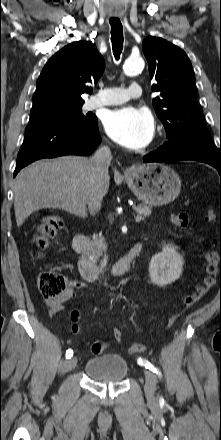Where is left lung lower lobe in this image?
Segmentation results:
<instances>
[{"instance_id": "left-lung-lower-lobe-1", "label": "left lung lower lobe", "mask_w": 221, "mask_h": 440, "mask_svg": "<svg viewBox=\"0 0 221 440\" xmlns=\"http://www.w3.org/2000/svg\"><path fill=\"white\" fill-rule=\"evenodd\" d=\"M176 160H196L199 162H204L216 168V170L221 174V158L181 154L170 150L165 144L157 150L147 154L143 158L144 162H163Z\"/></svg>"}]
</instances>
